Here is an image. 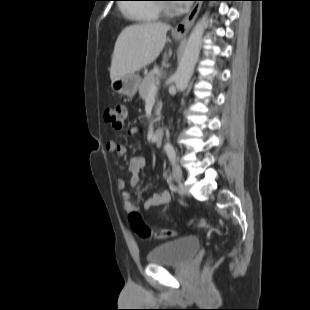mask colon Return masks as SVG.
<instances>
[{"label": "colon", "mask_w": 310, "mask_h": 310, "mask_svg": "<svg viewBox=\"0 0 310 310\" xmlns=\"http://www.w3.org/2000/svg\"><path fill=\"white\" fill-rule=\"evenodd\" d=\"M104 117L105 121L110 124L112 128L116 130L121 129L126 117V107L120 104L112 108H108L105 111ZM129 221L133 231L136 232L141 238L168 239L176 234L172 230H152L148 228L137 211L130 213ZM198 225L201 228L208 230L210 229L209 224L203 219L198 221Z\"/></svg>", "instance_id": "colon-1"}]
</instances>
